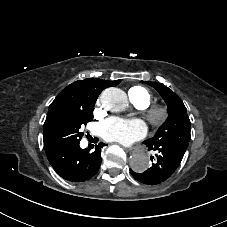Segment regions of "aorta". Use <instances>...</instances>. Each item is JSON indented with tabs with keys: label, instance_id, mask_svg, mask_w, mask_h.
<instances>
[{
	"label": "aorta",
	"instance_id": "762f6f07",
	"mask_svg": "<svg viewBox=\"0 0 227 227\" xmlns=\"http://www.w3.org/2000/svg\"><path fill=\"white\" fill-rule=\"evenodd\" d=\"M101 103L106 109L122 110L127 103L126 93L115 87L107 88L102 92ZM130 167L135 172H144L149 167V157L143 151L135 152L130 159Z\"/></svg>",
	"mask_w": 227,
	"mask_h": 227
}]
</instances>
